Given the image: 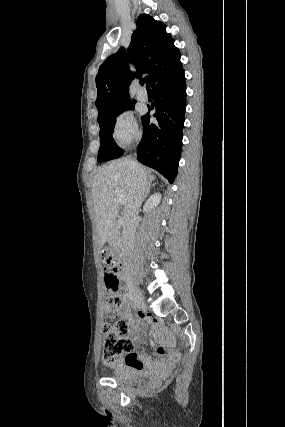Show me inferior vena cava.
<instances>
[{"label": "inferior vena cava", "mask_w": 285, "mask_h": 427, "mask_svg": "<svg viewBox=\"0 0 285 427\" xmlns=\"http://www.w3.org/2000/svg\"><path fill=\"white\" fill-rule=\"evenodd\" d=\"M130 165L133 169L134 189L124 208L123 226V244L127 252H129L134 245V234L138 224V212L147 189L145 176L139 168L138 163L130 159Z\"/></svg>", "instance_id": "602c4592"}]
</instances>
